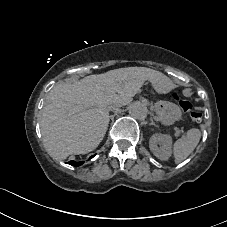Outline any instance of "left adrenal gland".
<instances>
[{
	"label": "left adrenal gland",
	"mask_w": 227,
	"mask_h": 227,
	"mask_svg": "<svg viewBox=\"0 0 227 227\" xmlns=\"http://www.w3.org/2000/svg\"><path fill=\"white\" fill-rule=\"evenodd\" d=\"M150 121H151L150 125L157 127L152 118L150 119Z\"/></svg>",
	"instance_id": "obj_1"
}]
</instances>
